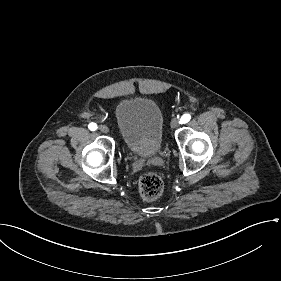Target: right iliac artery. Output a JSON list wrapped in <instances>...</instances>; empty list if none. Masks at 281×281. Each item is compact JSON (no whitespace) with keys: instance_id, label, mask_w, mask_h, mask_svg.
<instances>
[{"instance_id":"82829eb1","label":"right iliac artery","mask_w":281,"mask_h":281,"mask_svg":"<svg viewBox=\"0 0 281 281\" xmlns=\"http://www.w3.org/2000/svg\"><path fill=\"white\" fill-rule=\"evenodd\" d=\"M88 127H89V129L92 130V131H94V130L97 129V125H96L95 123H90Z\"/></svg>"}]
</instances>
